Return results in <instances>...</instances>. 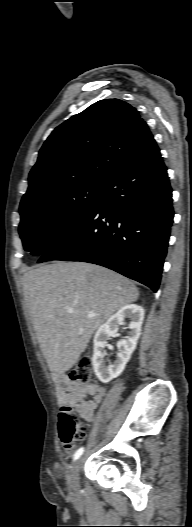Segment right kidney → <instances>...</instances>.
I'll return each instance as SVG.
<instances>
[{
    "label": "right kidney",
    "instance_id": "ca27d5eb",
    "mask_svg": "<svg viewBox=\"0 0 192 527\" xmlns=\"http://www.w3.org/2000/svg\"><path fill=\"white\" fill-rule=\"evenodd\" d=\"M126 318L130 320L128 337L117 343L119 352L114 363L106 365L104 361V348L107 346V339L116 332L118 326ZM143 319L144 309L136 304H129L122 307L96 331L93 340L94 351L92 364L96 376L102 383L110 382L112 379L121 375L125 369L127 362L136 349L137 341L141 334Z\"/></svg>",
    "mask_w": 192,
    "mask_h": 527
}]
</instances>
